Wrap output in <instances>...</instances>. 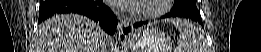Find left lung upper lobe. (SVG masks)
<instances>
[{
	"instance_id": "1",
	"label": "left lung upper lobe",
	"mask_w": 261,
	"mask_h": 52,
	"mask_svg": "<svg viewBox=\"0 0 261 52\" xmlns=\"http://www.w3.org/2000/svg\"><path fill=\"white\" fill-rule=\"evenodd\" d=\"M172 11L184 12L197 19H201L200 12L196 7V0H175V6Z\"/></svg>"
}]
</instances>
